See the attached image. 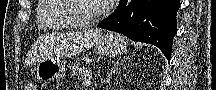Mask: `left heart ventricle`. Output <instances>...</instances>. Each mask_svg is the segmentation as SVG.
<instances>
[{
	"mask_svg": "<svg viewBox=\"0 0 216 90\" xmlns=\"http://www.w3.org/2000/svg\"><path fill=\"white\" fill-rule=\"evenodd\" d=\"M100 5V1H75L73 4L74 12L85 18L95 17L98 13Z\"/></svg>",
	"mask_w": 216,
	"mask_h": 90,
	"instance_id": "left-heart-ventricle-1",
	"label": "left heart ventricle"
}]
</instances>
